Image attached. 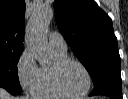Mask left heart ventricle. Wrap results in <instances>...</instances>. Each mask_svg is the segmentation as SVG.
Here are the masks:
<instances>
[{
	"label": "left heart ventricle",
	"instance_id": "b2bd125f",
	"mask_svg": "<svg viewBox=\"0 0 128 99\" xmlns=\"http://www.w3.org/2000/svg\"><path fill=\"white\" fill-rule=\"evenodd\" d=\"M61 83L67 92L78 94L87 86V77L80 66L70 64L62 72Z\"/></svg>",
	"mask_w": 128,
	"mask_h": 99
}]
</instances>
